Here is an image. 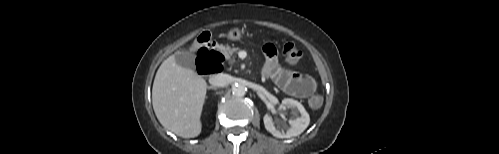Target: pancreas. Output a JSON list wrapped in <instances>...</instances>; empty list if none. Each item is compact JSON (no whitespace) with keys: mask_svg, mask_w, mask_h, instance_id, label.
<instances>
[{"mask_svg":"<svg viewBox=\"0 0 499 154\" xmlns=\"http://www.w3.org/2000/svg\"><path fill=\"white\" fill-rule=\"evenodd\" d=\"M221 51L229 63H234V54L239 51V48H230L229 46H222Z\"/></svg>","mask_w":499,"mask_h":154,"instance_id":"obj_1","label":"pancreas"}]
</instances>
